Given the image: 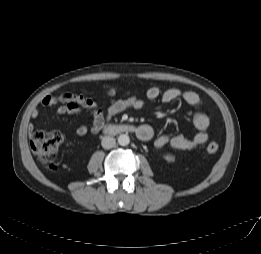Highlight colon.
Listing matches in <instances>:
<instances>
[{
	"instance_id": "colon-1",
	"label": "colon",
	"mask_w": 261,
	"mask_h": 254,
	"mask_svg": "<svg viewBox=\"0 0 261 254\" xmlns=\"http://www.w3.org/2000/svg\"><path fill=\"white\" fill-rule=\"evenodd\" d=\"M115 91L110 89L108 95H113ZM63 142V135L59 131H34L31 134L30 145L38 158L51 170L58 169L56 161L57 153ZM219 149L216 142H211L207 146L209 154H215Z\"/></svg>"
}]
</instances>
